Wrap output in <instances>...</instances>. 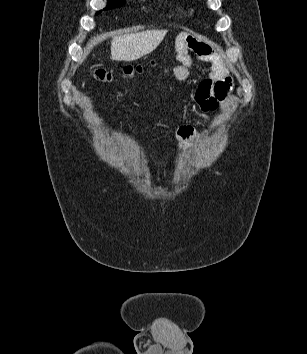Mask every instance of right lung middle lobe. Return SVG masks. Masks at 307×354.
Here are the masks:
<instances>
[{
  "mask_svg": "<svg viewBox=\"0 0 307 354\" xmlns=\"http://www.w3.org/2000/svg\"><path fill=\"white\" fill-rule=\"evenodd\" d=\"M125 2V0H109L108 5L104 10L115 8V7H120L122 4ZM100 11L97 13L99 14Z\"/></svg>",
  "mask_w": 307,
  "mask_h": 354,
  "instance_id": "right-lung-middle-lobe-1",
  "label": "right lung middle lobe"
}]
</instances>
